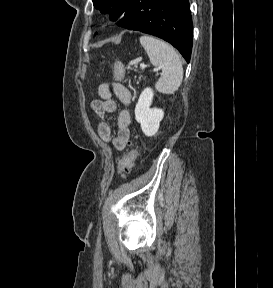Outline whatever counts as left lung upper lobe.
Here are the masks:
<instances>
[{
	"label": "left lung upper lobe",
	"mask_w": 273,
	"mask_h": 288,
	"mask_svg": "<svg viewBox=\"0 0 273 288\" xmlns=\"http://www.w3.org/2000/svg\"><path fill=\"white\" fill-rule=\"evenodd\" d=\"M134 0H93L94 7L103 13H107L110 7L111 20H117L124 12L126 13L131 7ZM118 25V23H117Z\"/></svg>",
	"instance_id": "left-lung-upper-lobe-1"
}]
</instances>
